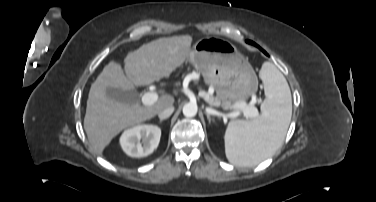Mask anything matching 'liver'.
Segmentation results:
<instances>
[{"instance_id": "1", "label": "liver", "mask_w": 376, "mask_h": 202, "mask_svg": "<svg viewBox=\"0 0 376 202\" xmlns=\"http://www.w3.org/2000/svg\"><path fill=\"white\" fill-rule=\"evenodd\" d=\"M191 43L190 35L159 38L129 53L125 70L114 61L103 68L91 85L84 117V129L95 153L101 155L123 129L153 118L174 103L169 93L152 105L117 102L107 97V87L134 90L169 77L187 59Z\"/></svg>"}]
</instances>
